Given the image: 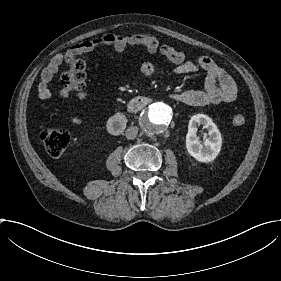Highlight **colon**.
Instances as JSON below:
<instances>
[{
  "label": "colon",
  "instance_id": "obj_1",
  "mask_svg": "<svg viewBox=\"0 0 281 281\" xmlns=\"http://www.w3.org/2000/svg\"><path fill=\"white\" fill-rule=\"evenodd\" d=\"M105 45L104 37H98L81 43L77 49L64 55L65 61L70 66V69L61 76L63 89L67 95L81 99L88 96L86 61L93 49ZM231 122L234 127L242 128L247 123V117L243 113H235ZM41 138L47 154L52 158L60 157L71 140L69 130L60 124L45 129Z\"/></svg>",
  "mask_w": 281,
  "mask_h": 281
}]
</instances>
